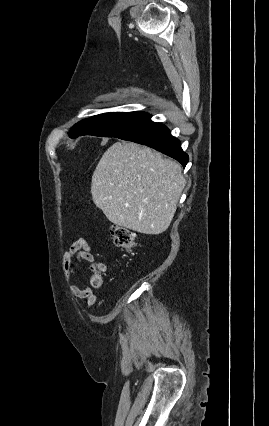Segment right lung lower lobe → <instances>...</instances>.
<instances>
[{
    "instance_id": "98d812e1",
    "label": "right lung lower lobe",
    "mask_w": 269,
    "mask_h": 426,
    "mask_svg": "<svg viewBox=\"0 0 269 426\" xmlns=\"http://www.w3.org/2000/svg\"><path fill=\"white\" fill-rule=\"evenodd\" d=\"M149 116L142 124L131 132L118 137L154 148L177 161L184 167L188 163V155L183 152L180 141L170 134L169 129L160 123L151 121ZM73 137V133H69Z\"/></svg>"
}]
</instances>
